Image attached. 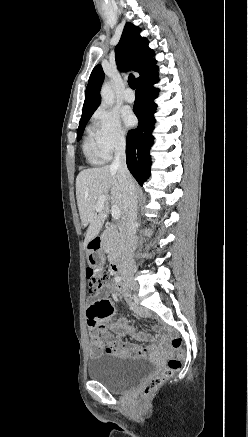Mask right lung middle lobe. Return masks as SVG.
<instances>
[{
  "mask_svg": "<svg viewBox=\"0 0 248 437\" xmlns=\"http://www.w3.org/2000/svg\"><path fill=\"white\" fill-rule=\"evenodd\" d=\"M91 116L84 118L83 120L80 121L79 123V127H78V131H77V141H79L82 137L84 128L88 122V120L90 119Z\"/></svg>",
  "mask_w": 248,
  "mask_h": 437,
  "instance_id": "obj_1",
  "label": "right lung middle lobe"
}]
</instances>
